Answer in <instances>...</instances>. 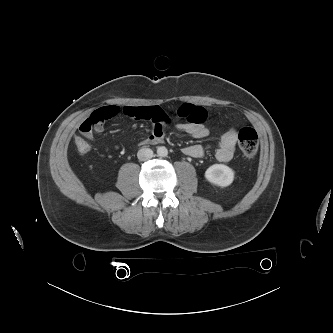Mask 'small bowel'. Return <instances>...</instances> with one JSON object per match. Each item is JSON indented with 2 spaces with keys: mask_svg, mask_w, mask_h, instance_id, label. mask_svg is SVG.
Instances as JSON below:
<instances>
[{
  "mask_svg": "<svg viewBox=\"0 0 333 333\" xmlns=\"http://www.w3.org/2000/svg\"><path fill=\"white\" fill-rule=\"evenodd\" d=\"M178 115L182 119L177 124V129L185 132L196 139H202L209 135V130L204 125L207 112L203 107L191 103H184L178 109ZM126 116L132 119L148 120L153 123L152 132L142 141L145 145H154L163 142L165 130L169 125L167 114L158 106L150 107H118L107 106L95 110L80 125L82 135L92 138L94 132L103 129L104 123L108 120ZM237 132L229 129L221 135L215 153L216 159L220 162L230 161L236 150ZM183 153L193 158H201L204 155V147L200 144H192L183 148Z\"/></svg>",
  "mask_w": 333,
  "mask_h": 333,
  "instance_id": "1",
  "label": "small bowel"
}]
</instances>
